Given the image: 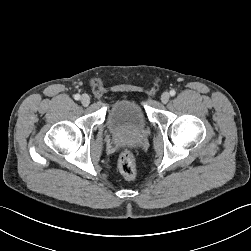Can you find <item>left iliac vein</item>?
I'll return each mask as SVG.
<instances>
[{
  "instance_id": "obj_1",
  "label": "left iliac vein",
  "mask_w": 251,
  "mask_h": 251,
  "mask_svg": "<svg viewBox=\"0 0 251 251\" xmlns=\"http://www.w3.org/2000/svg\"><path fill=\"white\" fill-rule=\"evenodd\" d=\"M170 99V95L168 92H164L162 95H161V101L162 103L166 104Z\"/></svg>"
}]
</instances>
